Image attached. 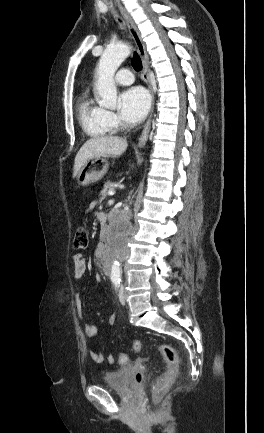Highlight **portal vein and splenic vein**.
<instances>
[{
  "mask_svg": "<svg viewBox=\"0 0 264 433\" xmlns=\"http://www.w3.org/2000/svg\"><path fill=\"white\" fill-rule=\"evenodd\" d=\"M114 193L115 192L113 190H110L108 194L112 196V195H114Z\"/></svg>",
  "mask_w": 264,
  "mask_h": 433,
  "instance_id": "1",
  "label": "portal vein and splenic vein"
}]
</instances>
